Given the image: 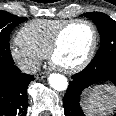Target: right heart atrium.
<instances>
[{
    "label": "right heart atrium",
    "mask_w": 116,
    "mask_h": 116,
    "mask_svg": "<svg viewBox=\"0 0 116 116\" xmlns=\"http://www.w3.org/2000/svg\"><path fill=\"white\" fill-rule=\"evenodd\" d=\"M10 58L13 63L25 73H34L39 65L43 57L25 46L21 45L17 40L14 45L10 49Z\"/></svg>",
    "instance_id": "right-heart-atrium-1"
}]
</instances>
